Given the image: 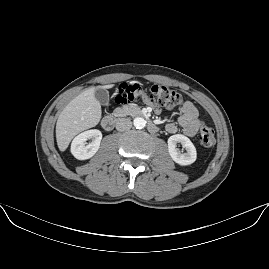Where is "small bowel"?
Masks as SVG:
<instances>
[{"instance_id": "1", "label": "small bowel", "mask_w": 269, "mask_h": 269, "mask_svg": "<svg viewBox=\"0 0 269 269\" xmlns=\"http://www.w3.org/2000/svg\"><path fill=\"white\" fill-rule=\"evenodd\" d=\"M181 115L178 119V125L187 136H194L199 128L198 110L193 103L186 101L180 108ZM176 123H169L166 126L167 132L174 134L178 130Z\"/></svg>"}]
</instances>
